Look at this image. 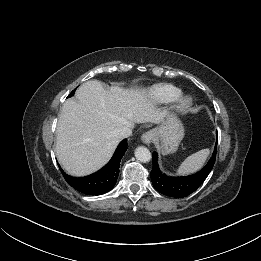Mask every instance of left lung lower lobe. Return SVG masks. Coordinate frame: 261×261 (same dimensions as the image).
I'll list each match as a JSON object with an SVG mask.
<instances>
[{
  "mask_svg": "<svg viewBox=\"0 0 261 261\" xmlns=\"http://www.w3.org/2000/svg\"><path fill=\"white\" fill-rule=\"evenodd\" d=\"M217 142L208 163L199 172L184 177H170L163 174L157 164V153L154 152L152 155L153 169L150 172V177L155 189L164 195L176 198L186 197L193 193L205 181L214 166Z\"/></svg>",
  "mask_w": 261,
  "mask_h": 261,
  "instance_id": "left-lung-lower-lobe-1",
  "label": "left lung lower lobe"
}]
</instances>
